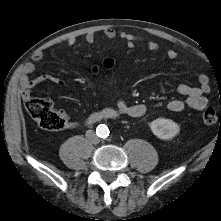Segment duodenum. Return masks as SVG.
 Segmentation results:
<instances>
[{
	"mask_svg": "<svg viewBox=\"0 0 221 221\" xmlns=\"http://www.w3.org/2000/svg\"><path fill=\"white\" fill-rule=\"evenodd\" d=\"M117 116V113L113 110H105L103 112H97V113H93L89 119L88 122L89 123H95L97 121H100L102 119H113Z\"/></svg>",
	"mask_w": 221,
	"mask_h": 221,
	"instance_id": "obj_1",
	"label": "duodenum"
}]
</instances>
